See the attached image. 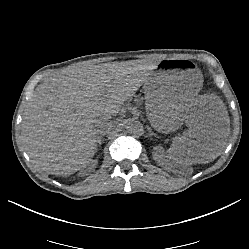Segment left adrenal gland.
Masks as SVG:
<instances>
[{"mask_svg":"<svg viewBox=\"0 0 249 249\" xmlns=\"http://www.w3.org/2000/svg\"><path fill=\"white\" fill-rule=\"evenodd\" d=\"M148 136L150 137V136H152L151 134H152V130L150 129V128H148Z\"/></svg>","mask_w":249,"mask_h":249,"instance_id":"obj_1","label":"left adrenal gland"}]
</instances>
